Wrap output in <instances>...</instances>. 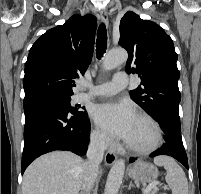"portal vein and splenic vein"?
Wrapping results in <instances>:
<instances>
[{"mask_svg":"<svg viewBox=\"0 0 201 194\" xmlns=\"http://www.w3.org/2000/svg\"><path fill=\"white\" fill-rule=\"evenodd\" d=\"M156 185H160L159 182H153L151 184H149L145 189H143V194H146L148 191L152 190L153 188L156 187Z\"/></svg>","mask_w":201,"mask_h":194,"instance_id":"obj_1","label":"portal vein and splenic vein"}]
</instances>
